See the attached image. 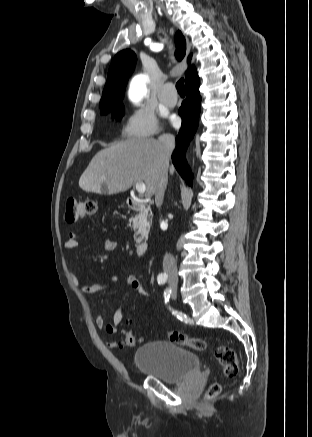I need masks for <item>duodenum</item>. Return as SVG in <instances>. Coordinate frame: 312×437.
Masks as SVG:
<instances>
[{"instance_id":"1","label":"duodenum","mask_w":312,"mask_h":437,"mask_svg":"<svg viewBox=\"0 0 312 437\" xmlns=\"http://www.w3.org/2000/svg\"><path fill=\"white\" fill-rule=\"evenodd\" d=\"M127 203L129 208L135 211L142 212L146 209V204L140 199L129 198ZM147 250H148L147 240L143 239L136 244V254L138 256H144Z\"/></svg>"}]
</instances>
